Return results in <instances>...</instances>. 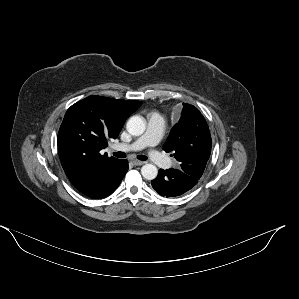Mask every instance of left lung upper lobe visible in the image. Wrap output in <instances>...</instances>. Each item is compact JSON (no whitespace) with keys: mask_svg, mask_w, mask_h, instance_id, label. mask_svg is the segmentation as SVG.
I'll return each mask as SVG.
<instances>
[{"mask_svg":"<svg viewBox=\"0 0 299 299\" xmlns=\"http://www.w3.org/2000/svg\"><path fill=\"white\" fill-rule=\"evenodd\" d=\"M209 127L200 111L183 103L181 118L164 144L166 152H173L182 171L199 180L211 153Z\"/></svg>","mask_w":299,"mask_h":299,"instance_id":"5c2ea615","label":"left lung upper lobe"}]
</instances>
